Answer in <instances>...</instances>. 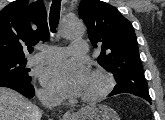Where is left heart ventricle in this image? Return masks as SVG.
<instances>
[{"mask_svg": "<svg viewBox=\"0 0 165 120\" xmlns=\"http://www.w3.org/2000/svg\"><path fill=\"white\" fill-rule=\"evenodd\" d=\"M102 86H103V81L100 78L90 74L80 96L83 97V96H89L95 94L101 89Z\"/></svg>", "mask_w": 165, "mask_h": 120, "instance_id": "b2bd125f", "label": "left heart ventricle"}]
</instances>
